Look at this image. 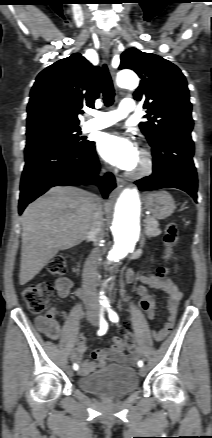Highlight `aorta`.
<instances>
[{
  "label": "aorta",
  "mask_w": 212,
  "mask_h": 438,
  "mask_svg": "<svg viewBox=\"0 0 212 438\" xmlns=\"http://www.w3.org/2000/svg\"><path fill=\"white\" fill-rule=\"evenodd\" d=\"M119 87L135 89L139 84L137 75L132 71H122L117 76ZM111 231L114 247L107 255V263L113 264L124 259L135 247L141 234L140 200L137 189L126 188L115 197ZM99 297L107 303L103 287H99Z\"/></svg>",
  "instance_id": "1"
}]
</instances>
